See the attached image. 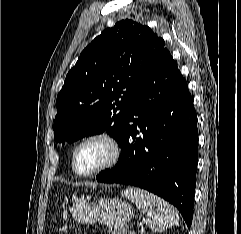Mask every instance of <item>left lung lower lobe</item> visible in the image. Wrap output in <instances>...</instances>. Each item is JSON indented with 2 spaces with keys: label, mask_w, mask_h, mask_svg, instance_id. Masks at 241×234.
<instances>
[{
  "label": "left lung lower lobe",
  "mask_w": 241,
  "mask_h": 234,
  "mask_svg": "<svg viewBox=\"0 0 241 234\" xmlns=\"http://www.w3.org/2000/svg\"><path fill=\"white\" fill-rule=\"evenodd\" d=\"M197 146L193 99L165 49L129 106L119 161L96 180L130 184L157 194L177 207L190 228Z\"/></svg>",
  "instance_id": "left-lung-lower-lobe-1"
}]
</instances>
